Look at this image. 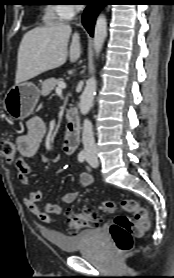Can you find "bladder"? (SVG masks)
Returning <instances> with one entry per match:
<instances>
[{
    "label": "bladder",
    "mask_w": 174,
    "mask_h": 278,
    "mask_svg": "<svg viewBox=\"0 0 174 278\" xmlns=\"http://www.w3.org/2000/svg\"><path fill=\"white\" fill-rule=\"evenodd\" d=\"M101 230L97 227L84 229L74 235L48 232L46 238L50 243L64 252H74L85 248L99 239Z\"/></svg>",
    "instance_id": "31cf9c89"
}]
</instances>
